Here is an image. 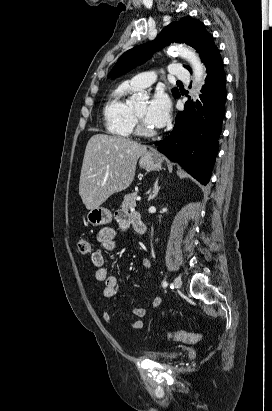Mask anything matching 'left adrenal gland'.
<instances>
[{"instance_id":"obj_1","label":"left adrenal gland","mask_w":272,"mask_h":411,"mask_svg":"<svg viewBox=\"0 0 272 411\" xmlns=\"http://www.w3.org/2000/svg\"><path fill=\"white\" fill-rule=\"evenodd\" d=\"M159 190H160V186H158V179H157L154 183V187H153L152 193L150 194L148 198V201L154 199L157 196Z\"/></svg>"}]
</instances>
